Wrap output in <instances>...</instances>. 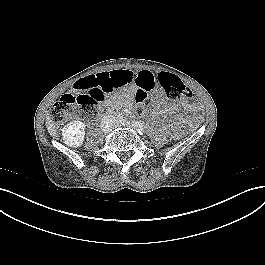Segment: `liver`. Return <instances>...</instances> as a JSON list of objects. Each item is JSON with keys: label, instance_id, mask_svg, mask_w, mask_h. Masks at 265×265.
Wrapping results in <instances>:
<instances>
[{"label": "liver", "instance_id": "liver-1", "mask_svg": "<svg viewBox=\"0 0 265 265\" xmlns=\"http://www.w3.org/2000/svg\"><path fill=\"white\" fill-rule=\"evenodd\" d=\"M46 127L50 136H52L53 138L57 136L56 126L50 116H46Z\"/></svg>", "mask_w": 265, "mask_h": 265}]
</instances>
